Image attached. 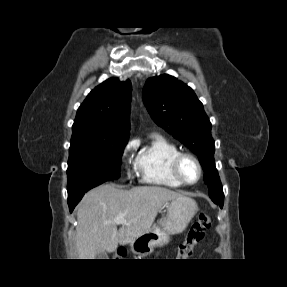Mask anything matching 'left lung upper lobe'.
<instances>
[{
    "label": "left lung upper lobe",
    "instance_id": "obj_1",
    "mask_svg": "<svg viewBox=\"0 0 287 287\" xmlns=\"http://www.w3.org/2000/svg\"><path fill=\"white\" fill-rule=\"evenodd\" d=\"M143 100L154 121L198 156L210 198L218 205L223 204L211 123L194 91L175 77L164 74L146 81Z\"/></svg>",
    "mask_w": 287,
    "mask_h": 287
}]
</instances>
